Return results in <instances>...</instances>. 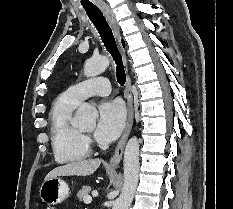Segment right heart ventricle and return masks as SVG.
I'll list each match as a JSON object with an SVG mask.
<instances>
[{
    "instance_id": "obj_1",
    "label": "right heart ventricle",
    "mask_w": 233,
    "mask_h": 209,
    "mask_svg": "<svg viewBox=\"0 0 233 209\" xmlns=\"http://www.w3.org/2000/svg\"><path fill=\"white\" fill-rule=\"evenodd\" d=\"M78 105L79 102L64 92L55 100L50 112L51 144L59 163L77 162L89 154L83 134L72 123V114Z\"/></svg>"
}]
</instances>
